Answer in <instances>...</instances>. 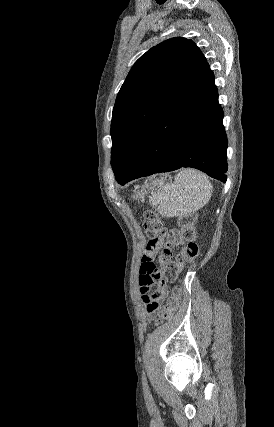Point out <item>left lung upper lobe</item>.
Segmentation results:
<instances>
[{
  "instance_id": "5c2ea615",
  "label": "left lung upper lobe",
  "mask_w": 274,
  "mask_h": 427,
  "mask_svg": "<svg viewBox=\"0 0 274 427\" xmlns=\"http://www.w3.org/2000/svg\"><path fill=\"white\" fill-rule=\"evenodd\" d=\"M205 64L196 44L181 37L158 44L137 60L112 113L115 176L129 172L153 124Z\"/></svg>"
}]
</instances>
